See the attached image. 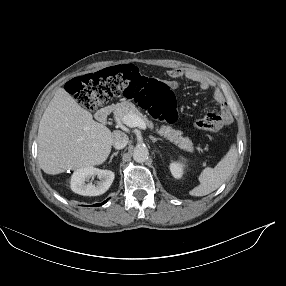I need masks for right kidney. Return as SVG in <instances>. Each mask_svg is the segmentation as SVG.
<instances>
[{
    "label": "right kidney",
    "instance_id": "1",
    "mask_svg": "<svg viewBox=\"0 0 286 286\" xmlns=\"http://www.w3.org/2000/svg\"><path fill=\"white\" fill-rule=\"evenodd\" d=\"M97 176L100 181L95 184L89 182L91 177ZM114 173L110 170H102L95 167H85L75 171L71 177V189L83 196H98L105 193L114 180Z\"/></svg>",
    "mask_w": 286,
    "mask_h": 286
}]
</instances>
